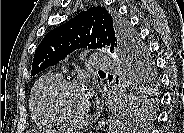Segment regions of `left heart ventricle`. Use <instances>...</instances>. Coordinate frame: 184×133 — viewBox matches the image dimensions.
<instances>
[{
	"mask_svg": "<svg viewBox=\"0 0 184 133\" xmlns=\"http://www.w3.org/2000/svg\"><path fill=\"white\" fill-rule=\"evenodd\" d=\"M88 99L81 89L68 88L58 97V110L66 118L77 119L82 117L88 109Z\"/></svg>",
	"mask_w": 184,
	"mask_h": 133,
	"instance_id": "b2bd125f",
	"label": "left heart ventricle"
}]
</instances>
